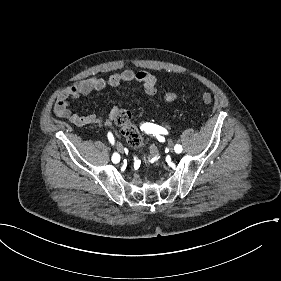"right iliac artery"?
<instances>
[{
	"mask_svg": "<svg viewBox=\"0 0 281 281\" xmlns=\"http://www.w3.org/2000/svg\"><path fill=\"white\" fill-rule=\"evenodd\" d=\"M108 138H109V141H110L111 143L114 142V139H113V136H112L111 133L108 134ZM112 161H113L114 163H118V162L120 161V156H119V154L114 153L113 156H112Z\"/></svg>",
	"mask_w": 281,
	"mask_h": 281,
	"instance_id": "82829eb1",
	"label": "right iliac artery"
}]
</instances>
